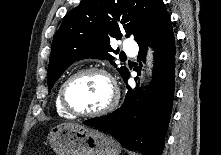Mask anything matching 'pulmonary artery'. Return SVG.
Masks as SVG:
<instances>
[{"instance_id":"e3ab8cb5","label":"pulmonary artery","mask_w":221,"mask_h":155,"mask_svg":"<svg viewBox=\"0 0 221 155\" xmlns=\"http://www.w3.org/2000/svg\"><path fill=\"white\" fill-rule=\"evenodd\" d=\"M124 51L129 55H135L137 53L138 47L133 40H126L123 45Z\"/></svg>"}]
</instances>
